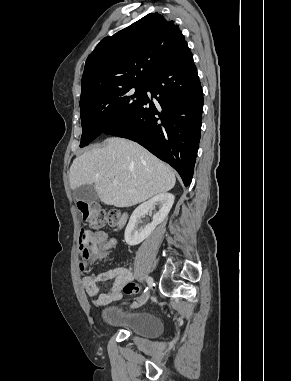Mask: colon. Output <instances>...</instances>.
<instances>
[{
  "label": "colon",
  "instance_id": "obj_1",
  "mask_svg": "<svg viewBox=\"0 0 291 381\" xmlns=\"http://www.w3.org/2000/svg\"><path fill=\"white\" fill-rule=\"evenodd\" d=\"M77 208L81 214L82 219L85 222L90 223L92 228H100L103 226H114L119 218V214L116 211L106 212L101 209L96 203L77 200ZM91 237V231L86 228H82L79 235V255L83 262H87L90 257L89 240ZM137 291V287L133 283H128L123 287V292L131 294Z\"/></svg>",
  "mask_w": 291,
  "mask_h": 381
}]
</instances>
